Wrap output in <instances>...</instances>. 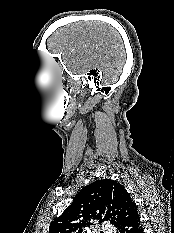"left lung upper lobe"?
<instances>
[{
    "instance_id": "left-lung-upper-lobe-1",
    "label": "left lung upper lobe",
    "mask_w": 174,
    "mask_h": 233,
    "mask_svg": "<svg viewBox=\"0 0 174 233\" xmlns=\"http://www.w3.org/2000/svg\"><path fill=\"white\" fill-rule=\"evenodd\" d=\"M137 211L127 190L111 179L91 183L81 189L72 204L52 221L49 233H83L91 220H110L118 227Z\"/></svg>"
}]
</instances>
